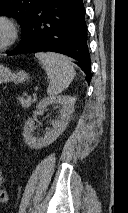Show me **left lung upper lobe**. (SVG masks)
<instances>
[{
    "label": "left lung upper lobe",
    "instance_id": "left-lung-upper-lobe-1",
    "mask_svg": "<svg viewBox=\"0 0 128 213\" xmlns=\"http://www.w3.org/2000/svg\"><path fill=\"white\" fill-rule=\"evenodd\" d=\"M38 0H0V15L14 17L24 30L32 16Z\"/></svg>",
    "mask_w": 128,
    "mask_h": 213
}]
</instances>
